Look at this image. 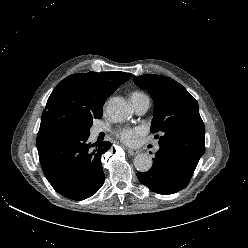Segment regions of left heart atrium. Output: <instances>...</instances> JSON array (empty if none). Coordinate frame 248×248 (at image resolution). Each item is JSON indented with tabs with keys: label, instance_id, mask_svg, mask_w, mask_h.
Wrapping results in <instances>:
<instances>
[{
	"label": "left heart atrium",
	"instance_id": "1",
	"mask_svg": "<svg viewBox=\"0 0 248 248\" xmlns=\"http://www.w3.org/2000/svg\"><path fill=\"white\" fill-rule=\"evenodd\" d=\"M144 133V129L141 127H125L116 132L117 137L128 145L136 143L138 137Z\"/></svg>",
	"mask_w": 248,
	"mask_h": 248
}]
</instances>
